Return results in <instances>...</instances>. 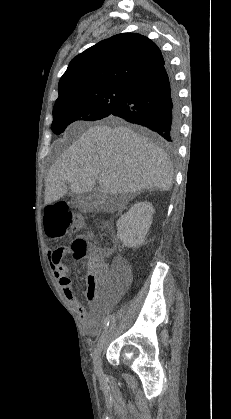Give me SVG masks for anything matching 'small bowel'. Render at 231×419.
Masks as SVG:
<instances>
[{
    "label": "small bowel",
    "instance_id": "small-bowel-1",
    "mask_svg": "<svg viewBox=\"0 0 231 419\" xmlns=\"http://www.w3.org/2000/svg\"><path fill=\"white\" fill-rule=\"evenodd\" d=\"M69 252L67 247H59L48 251V260L54 277L58 280V284L66 297V299L73 305L79 318L83 322L84 330L89 336H95L100 331V323L95 317L88 315L87 310L82 305L80 299L74 294L72 290V281L68 274V267L64 262V257ZM128 279H123L119 282L118 287H123ZM97 287L91 288L87 278L86 297L89 302H93L96 298Z\"/></svg>",
    "mask_w": 231,
    "mask_h": 419
}]
</instances>
